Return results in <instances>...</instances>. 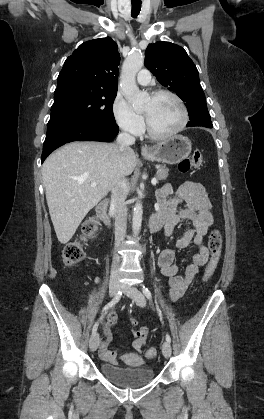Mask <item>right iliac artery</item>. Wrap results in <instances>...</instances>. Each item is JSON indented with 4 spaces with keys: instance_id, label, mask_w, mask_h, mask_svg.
<instances>
[{
    "instance_id": "82829eb1",
    "label": "right iliac artery",
    "mask_w": 264,
    "mask_h": 419,
    "mask_svg": "<svg viewBox=\"0 0 264 419\" xmlns=\"http://www.w3.org/2000/svg\"><path fill=\"white\" fill-rule=\"evenodd\" d=\"M121 296H122V291H118L115 297L107 305L104 306L102 312H106L109 308L113 307L120 300ZM97 329H98V322L94 324L93 329H92V334L96 333Z\"/></svg>"
}]
</instances>
